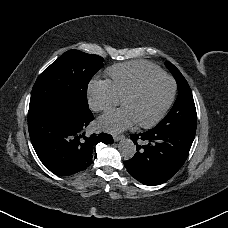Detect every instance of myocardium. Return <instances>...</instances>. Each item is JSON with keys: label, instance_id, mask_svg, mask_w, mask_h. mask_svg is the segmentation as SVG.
Listing matches in <instances>:
<instances>
[{"label": "myocardium", "instance_id": "obj_1", "mask_svg": "<svg viewBox=\"0 0 228 228\" xmlns=\"http://www.w3.org/2000/svg\"><path fill=\"white\" fill-rule=\"evenodd\" d=\"M160 79H166L170 83V91H169L168 98L165 101V103L162 106V108L159 111V113L151 121L146 122V123H142V122H138L137 123L142 128L154 127L164 117V115L168 111V109H169V107H170V105H171V103L173 101V98H174V94H175V82H174V80L170 76L165 75V74H160V75H156V76L147 78L135 90H133L131 93H129L125 97V100L137 97L143 91V89L146 88L149 84H151L152 82H155L157 80H160Z\"/></svg>", "mask_w": 228, "mask_h": 228}]
</instances>
